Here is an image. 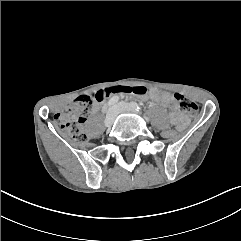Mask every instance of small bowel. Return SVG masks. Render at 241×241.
I'll return each mask as SVG.
<instances>
[{
	"mask_svg": "<svg viewBox=\"0 0 241 241\" xmlns=\"http://www.w3.org/2000/svg\"><path fill=\"white\" fill-rule=\"evenodd\" d=\"M151 98L160 103L162 106L172 110V117L175 121H177L179 124L184 123V117L178 112L177 104L172 95L167 92L153 91L151 93Z\"/></svg>",
	"mask_w": 241,
	"mask_h": 241,
	"instance_id": "1",
	"label": "small bowel"
}]
</instances>
